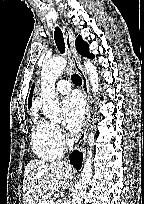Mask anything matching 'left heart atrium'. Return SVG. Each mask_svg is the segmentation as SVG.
Wrapping results in <instances>:
<instances>
[{
	"instance_id": "obj_1",
	"label": "left heart atrium",
	"mask_w": 144,
	"mask_h": 204,
	"mask_svg": "<svg viewBox=\"0 0 144 204\" xmlns=\"http://www.w3.org/2000/svg\"><path fill=\"white\" fill-rule=\"evenodd\" d=\"M64 124L70 133H75L82 125L84 118V101L78 94H72L61 103Z\"/></svg>"
}]
</instances>
